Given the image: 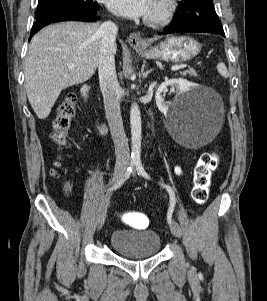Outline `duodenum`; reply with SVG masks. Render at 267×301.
Masks as SVG:
<instances>
[{
  "label": "duodenum",
  "instance_id": "1",
  "mask_svg": "<svg viewBox=\"0 0 267 301\" xmlns=\"http://www.w3.org/2000/svg\"><path fill=\"white\" fill-rule=\"evenodd\" d=\"M81 94L84 98V101L87 105H89V85L84 84L81 88Z\"/></svg>",
  "mask_w": 267,
  "mask_h": 301
}]
</instances>
